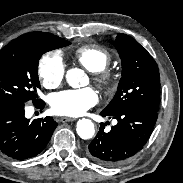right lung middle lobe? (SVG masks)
Instances as JSON below:
<instances>
[{
    "instance_id": "1",
    "label": "right lung middle lobe",
    "mask_w": 183,
    "mask_h": 183,
    "mask_svg": "<svg viewBox=\"0 0 183 183\" xmlns=\"http://www.w3.org/2000/svg\"><path fill=\"white\" fill-rule=\"evenodd\" d=\"M64 39L48 42L39 38L10 42L0 51V103L38 99V61L42 54L69 45Z\"/></svg>"
}]
</instances>
